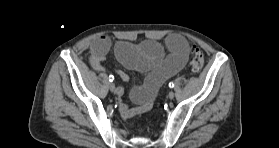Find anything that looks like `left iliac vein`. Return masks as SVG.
<instances>
[{
	"mask_svg": "<svg viewBox=\"0 0 279 148\" xmlns=\"http://www.w3.org/2000/svg\"><path fill=\"white\" fill-rule=\"evenodd\" d=\"M169 99H173L174 98V92L170 91L168 94Z\"/></svg>",
	"mask_w": 279,
	"mask_h": 148,
	"instance_id": "4c4485c4",
	"label": "left iliac vein"
}]
</instances>
